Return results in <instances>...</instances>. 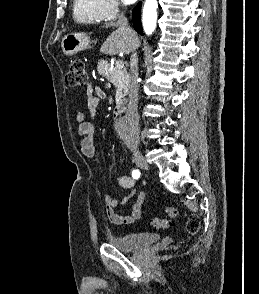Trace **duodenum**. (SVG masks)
Here are the masks:
<instances>
[{"mask_svg":"<svg viewBox=\"0 0 259 294\" xmlns=\"http://www.w3.org/2000/svg\"><path fill=\"white\" fill-rule=\"evenodd\" d=\"M124 112H125V107H124V105H123V104H119V105L116 107L115 111H114V116H115V117H119V116H121L122 114H124Z\"/></svg>","mask_w":259,"mask_h":294,"instance_id":"410a0bca","label":"duodenum"}]
</instances>
